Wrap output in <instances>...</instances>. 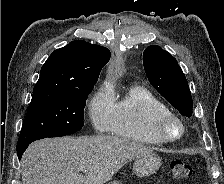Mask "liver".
I'll return each instance as SVG.
<instances>
[{"mask_svg":"<svg viewBox=\"0 0 224 184\" xmlns=\"http://www.w3.org/2000/svg\"><path fill=\"white\" fill-rule=\"evenodd\" d=\"M152 152L110 135L46 138L23 154L22 184H104L126 163ZM80 167L86 168L85 175Z\"/></svg>","mask_w":224,"mask_h":184,"instance_id":"obj_1","label":"liver"}]
</instances>
